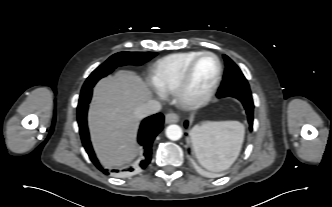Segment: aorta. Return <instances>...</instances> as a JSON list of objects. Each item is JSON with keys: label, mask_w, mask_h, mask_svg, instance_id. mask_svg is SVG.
I'll return each instance as SVG.
<instances>
[{"label": "aorta", "mask_w": 332, "mask_h": 207, "mask_svg": "<svg viewBox=\"0 0 332 207\" xmlns=\"http://www.w3.org/2000/svg\"><path fill=\"white\" fill-rule=\"evenodd\" d=\"M183 135L182 129L176 124L169 125L166 128V136L170 140L176 141L179 140Z\"/></svg>", "instance_id": "1"}]
</instances>
